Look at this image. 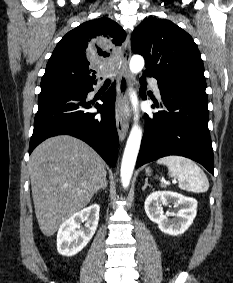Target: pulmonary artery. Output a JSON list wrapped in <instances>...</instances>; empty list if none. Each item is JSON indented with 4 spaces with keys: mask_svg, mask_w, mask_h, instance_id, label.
I'll use <instances>...</instances> for the list:
<instances>
[{
    "mask_svg": "<svg viewBox=\"0 0 233 283\" xmlns=\"http://www.w3.org/2000/svg\"><path fill=\"white\" fill-rule=\"evenodd\" d=\"M148 83L151 85L152 89L154 90L157 97H160V90L157 80L155 79H148Z\"/></svg>",
    "mask_w": 233,
    "mask_h": 283,
    "instance_id": "obj_1",
    "label": "pulmonary artery"
}]
</instances>
